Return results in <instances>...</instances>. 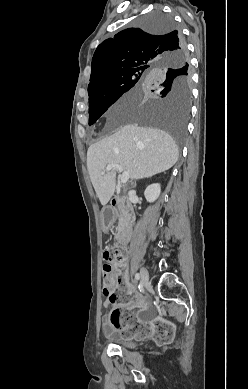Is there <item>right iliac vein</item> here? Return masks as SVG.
<instances>
[{
    "label": "right iliac vein",
    "mask_w": 248,
    "mask_h": 389,
    "mask_svg": "<svg viewBox=\"0 0 248 389\" xmlns=\"http://www.w3.org/2000/svg\"><path fill=\"white\" fill-rule=\"evenodd\" d=\"M141 283L143 285L148 283L149 274L146 268H141L140 270Z\"/></svg>",
    "instance_id": "63e3f726"
}]
</instances>
